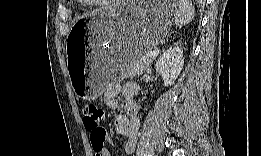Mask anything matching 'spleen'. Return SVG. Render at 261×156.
<instances>
[{"label":"spleen","instance_id":"obj_1","mask_svg":"<svg viewBox=\"0 0 261 156\" xmlns=\"http://www.w3.org/2000/svg\"><path fill=\"white\" fill-rule=\"evenodd\" d=\"M195 16V9L192 3L188 0L178 1V10L175 16V23L177 26L182 27L190 23Z\"/></svg>","mask_w":261,"mask_h":156}]
</instances>
